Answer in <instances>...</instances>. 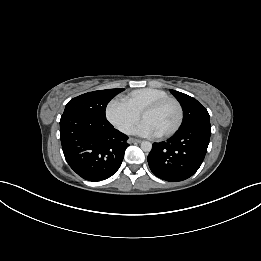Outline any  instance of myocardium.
<instances>
[{
    "instance_id": "f54148a6",
    "label": "myocardium",
    "mask_w": 261,
    "mask_h": 261,
    "mask_svg": "<svg viewBox=\"0 0 261 261\" xmlns=\"http://www.w3.org/2000/svg\"><path fill=\"white\" fill-rule=\"evenodd\" d=\"M167 103H173L177 107L178 119H177L175 125L170 130L160 134L161 137H169V136L175 134L181 127L183 118H184V113H183V108H182V105L180 104V102L175 98L167 97V98L160 99V100L150 103L141 112V117L143 118L146 113L156 110Z\"/></svg>"
}]
</instances>
